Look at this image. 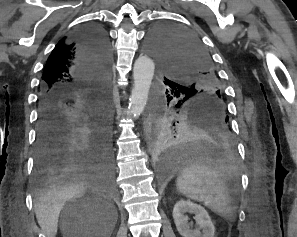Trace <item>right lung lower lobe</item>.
<instances>
[{
	"instance_id": "right-lung-lower-lobe-1",
	"label": "right lung lower lobe",
	"mask_w": 297,
	"mask_h": 237,
	"mask_svg": "<svg viewBox=\"0 0 297 237\" xmlns=\"http://www.w3.org/2000/svg\"><path fill=\"white\" fill-rule=\"evenodd\" d=\"M74 37L78 71L89 79V89L73 98L61 89L41 92L35 157L38 179L69 173L111 175L113 171L106 92L109 41L97 25L82 28Z\"/></svg>"
}]
</instances>
